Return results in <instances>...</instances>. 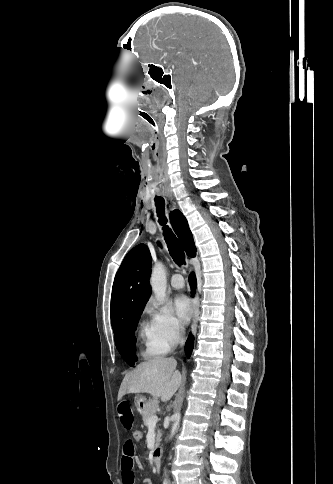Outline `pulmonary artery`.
Returning a JSON list of instances; mask_svg holds the SVG:
<instances>
[{
    "label": "pulmonary artery",
    "instance_id": "e3ab8cb5",
    "mask_svg": "<svg viewBox=\"0 0 333 484\" xmlns=\"http://www.w3.org/2000/svg\"><path fill=\"white\" fill-rule=\"evenodd\" d=\"M171 285L175 289H181L184 287V278L180 273H175L171 277Z\"/></svg>",
    "mask_w": 333,
    "mask_h": 484
}]
</instances>
